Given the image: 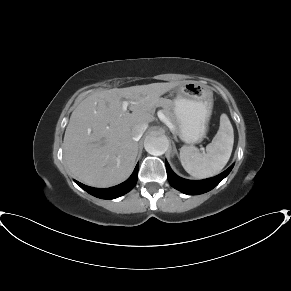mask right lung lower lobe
Instances as JSON below:
<instances>
[{
  "label": "right lung lower lobe",
  "instance_id": "98d812e1",
  "mask_svg": "<svg viewBox=\"0 0 291 291\" xmlns=\"http://www.w3.org/2000/svg\"><path fill=\"white\" fill-rule=\"evenodd\" d=\"M139 164L136 165L132 175L123 183L107 189H98L86 186L78 181H75L82 189L89 194L102 199H115L129 192L136 184L138 178Z\"/></svg>",
  "mask_w": 291,
  "mask_h": 291
}]
</instances>
